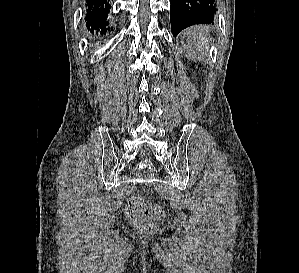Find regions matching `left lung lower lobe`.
Listing matches in <instances>:
<instances>
[{"mask_svg":"<svg viewBox=\"0 0 299 273\" xmlns=\"http://www.w3.org/2000/svg\"><path fill=\"white\" fill-rule=\"evenodd\" d=\"M215 0H170V20L173 35L199 23H213Z\"/></svg>","mask_w":299,"mask_h":273,"instance_id":"0a47b994","label":"left lung lower lobe"}]
</instances>
